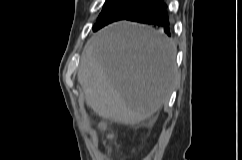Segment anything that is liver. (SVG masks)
Listing matches in <instances>:
<instances>
[{
    "instance_id": "1",
    "label": "liver",
    "mask_w": 242,
    "mask_h": 160,
    "mask_svg": "<svg viewBox=\"0 0 242 160\" xmlns=\"http://www.w3.org/2000/svg\"><path fill=\"white\" fill-rule=\"evenodd\" d=\"M176 45L157 31L121 21L98 31L83 50L78 82L99 116L133 125L169 99L177 69Z\"/></svg>"
}]
</instances>
